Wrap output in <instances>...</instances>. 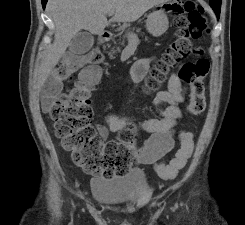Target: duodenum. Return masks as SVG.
<instances>
[{
  "label": "duodenum",
  "mask_w": 245,
  "mask_h": 225,
  "mask_svg": "<svg viewBox=\"0 0 245 225\" xmlns=\"http://www.w3.org/2000/svg\"><path fill=\"white\" fill-rule=\"evenodd\" d=\"M111 39V34L108 31H103L98 35V41L100 44H106Z\"/></svg>",
  "instance_id": "1"
}]
</instances>
